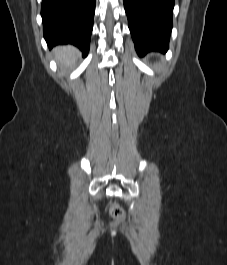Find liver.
Here are the masks:
<instances>
[{
  "label": "liver",
  "instance_id": "liver-1",
  "mask_svg": "<svg viewBox=\"0 0 227 265\" xmlns=\"http://www.w3.org/2000/svg\"><path fill=\"white\" fill-rule=\"evenodd\" d=\"M54 55L59 65L69 67L75 63L79 51L73 46H59L55 48Z\"/></svg>",
  "mask_w": 227,
  "mask_h": 265
}]
</instances>
